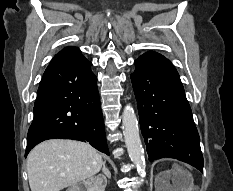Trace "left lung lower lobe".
I'll list each match as a JSON object with an SVG mask.
<instances>
[{"instance_id": "1", "label": "left lung lower lobe", "mask_w": 233, "mask_h": 191, "mask_svg": "<svg viewBox=\"0 0 233 191\" xmlns=\"http://www.w3.org/2000/svg\"><path fill=\"white\" fill-rule=\"evenodd\" d=\"M134 64L130 77L149 160L175 158L203 172L199 134L177 70L158 53Z\"/></svg>"}]
</instances>
